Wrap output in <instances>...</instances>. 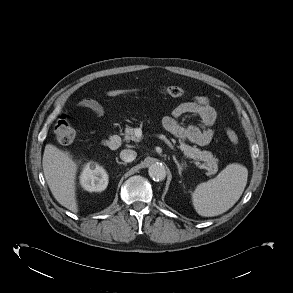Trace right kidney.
I'll use <instances>...</instances> for the list:
<instances>
[{
	"mask_svg": "<svg viewBox=\"0 0 293 293\" xmlns=\"http://www.w3.org/2000/svg\"><path fill=\"white\" fill-rule=\"evenodd\" d=\"M80 183L89 192H101L108 185V175L102 166L89 162L80 175Z\"/></svg>",
	"mask_w": 293,
	"mask_h": 293,
	"instance_id": "right-kidney-1",
	"label": "right kidney"
}]
</instances>
